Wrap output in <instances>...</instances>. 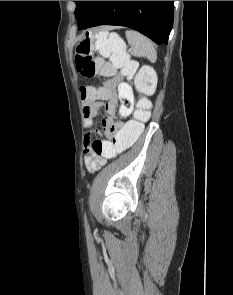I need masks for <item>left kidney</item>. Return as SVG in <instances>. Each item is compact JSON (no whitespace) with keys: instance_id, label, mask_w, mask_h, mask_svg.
I'll use <instances>...</instances> for the list:
<instances>
[{"instance_id":"obj_1","label":"left kidney","mask_w":233,"mask_h":295,"mask_svg":"<svg viewBox=\"0 0 233 295\" xmlns=\"http://www.w3.org/2000/svg\"><path fill=\"white\" fill-rule=\"evenodd\" d=\"M158 77L156 71L148 65L140 68L134 78L135 88L139 93L151 96L155 93Z\"/></svg>"}]
</instances>
